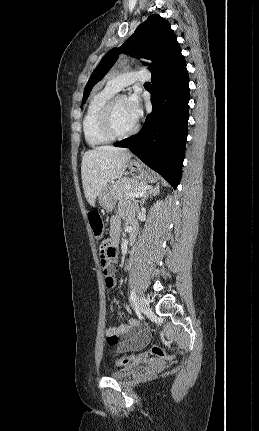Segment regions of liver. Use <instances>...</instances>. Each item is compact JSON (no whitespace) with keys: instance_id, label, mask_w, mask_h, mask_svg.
<instances>
[{"instance_id":"obj_1","label":"liver","mask_w":259,"mask_h":431,"mask_svg":"<svg viewBox=\"0 0 259 431\" xmlns=\"http://www.w3.org/2000/svg\"><path fill=\"white\" fill-rule=\"evenodd\" d=\"M132 154L124 148L100 146L87 151L81 164L85 197L91 206L102 189L124 174Z\"/></svg>"}]
</instances>
